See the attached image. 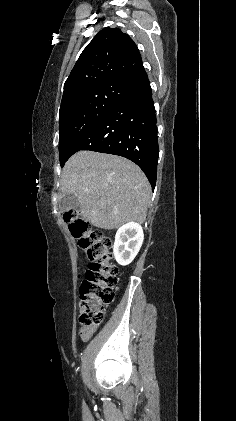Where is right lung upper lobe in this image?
<instances>
[{
  "label": "right lung upper lobe",
  "instance_id": "cb5924a9",
  "mask_svg": "<svg viewBox=\"0 0 236 421\" xmlns=\"http://www.w3.org/2000/svg\"><path fill=\"white\" fill-rule=\"evenodd\" d=\"M143 68L134 41L118 28H104L73 67L64 84L62 102L84 91L120 86L125 77Z\"/></svg>",
  "mask_w": 236,
  "mask_h": 421
}]
</instances>
